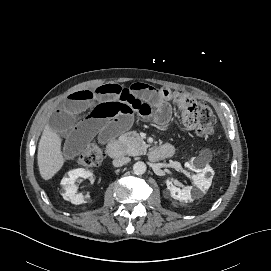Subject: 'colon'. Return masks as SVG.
Masks as SVG:
<instances>
[{"instance_id": "1", "label": "colon", "mask_w": 271, "mask_h": 271, "mask_svg": "<svg viewBox=\"0 0 271 271\" xmlns=\"http://www.w3.org/2000/svg\"><path fill=\"white\" fill-rule=\"evenodd\" d=\"M181 106L183 126L195 130L198 137L208 139L213 134L215 121L211 107L187 95L182 97ZM102 160V150L95 142H90L81 152L78 163L84 167H95Z\"/></svg>"}]
</instances>
